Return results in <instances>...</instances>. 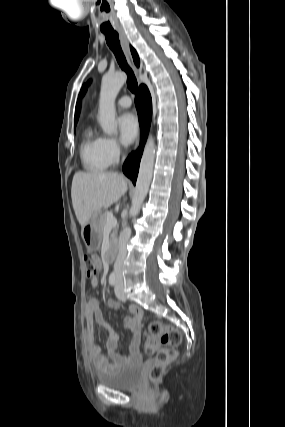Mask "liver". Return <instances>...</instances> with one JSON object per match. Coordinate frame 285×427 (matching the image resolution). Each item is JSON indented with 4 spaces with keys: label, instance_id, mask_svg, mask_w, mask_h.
<instances>
[{
    "label": "liver",
    "instance_id": "6515ba94",
    "mask_svg": "<svg viewBox=\"0 0 285 427\" xmlns=\"http://www.w3.org/2000/svg\"><path fill=\"white\" fill-rule=\"evenodd\" d=\"M127 191L126 179L114 172H77L71 187L72 205L83 228L93 213L116 203Z\"/></svg>",
    "mask_w": 285,
    "mask_h": 427
}]
</instances>
